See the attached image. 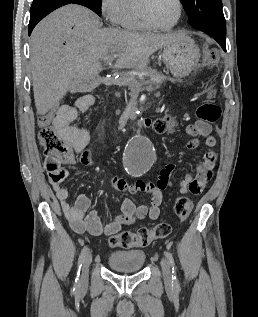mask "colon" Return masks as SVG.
Here are the masks:
<instances>
[{
    "instance_id": "1",
    "label": "colon",
    "mask_w": 258,
    "mask_h": 317,
    "mask_svg": "<svg viewBox=\"0 0 258 317\" xmlns=\"http://www.w3.org/2000/svg\"><path fill=\"white\" fill-rule=\"evenodd\" d=\"M214 89L209 86L206 89L207 97L213 95ZM220 107L205 101L201 103L197 110V117L208 123L215 122L220 116ZM53 113H48L41 118L43 127L39 131L38 140L44 152L49 155L57 156L67 163H74L77 158L68 142L59 134V132L48 124L52 120ZM173 122L168 115L161 116L153 122V128L158 133H165L172 130ZM84 156V153L81 156ZM192 201L186 197H179L174 206L176 216L179 220L184 221L188 218L192 210ZM171 233V226L168 223H158L157 225L147 228L142 227L137 231H122L109 237L111 247L129 249L133 247H145L155 240L165 239Z\"/></svg>"
}]
</instances>
